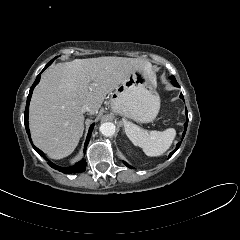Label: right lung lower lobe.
I'll return each instance as SVG.
<instances>
[{
    "mask_svg": "<svg viewBox=\"0 0 240 240\" xmlns=\"http://www.w3.org/2000/svg\"><path fill=\"white\" fill-rule=\"evenodd\" d=\"M54 60V59H53ZM50 61L43 70H45L52 62ZM42 73V72H41ZM40 73V74H41ZM40 74L37 76L35 82L33 83L31 89H30V92H29V95H28V98H27V104H26V109H25V119H24V122H25V128H26V131L29 135V127H28V112H29V103H30V99H31V95H32V92H33V89L34 87L38 84V82L40 81ZM94 128V124L91 125V127L89 128V132H88V135H87V138H86V142H85V145H84V153L86 152V148H87V145H88V142L90 140V136H91V133H92V130ZM33 148L43 157L47 160V158L45 157L44 153L39 150L38 148H36L33 144H32ZM49 161V160H48ZM49 165L52 167V168H55L57 169L58 171H61L62 173H65V174H71V173H79V172H84L85 171V168H86V162L85 160L83 159L82 161L76 163L74 166L72 167H69V168H64V167H60V166H57L55 165L54 163L50 162L49 161Z\"/></svg>",
    "mask_w": 240,
    "mask_h": 240,
    "instance_id": "right-lung-lower-lobe-1",
    "label": "right lung lower lobe"
}]
</instances>
